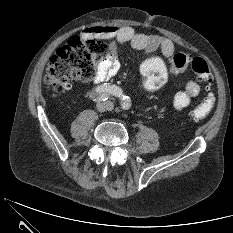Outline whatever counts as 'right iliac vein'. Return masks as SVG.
I'll return each mask as SVG.
<instances>
[{
	"label": "right iliac vein",
	"mask_w": 233,
	"mask_h": 233,
	"mask_svg": "<svg viewBox=\"0 0 233 233\" xmlns=\"http://www.w3.org/2000/svg\"><path fill=\"white\" fill-rule=\"evenodd\" d=\"M98 112L102 113L105 112L106 110L109 109L108 103L107 102H98L96 106Z\"/></svg>",
	"instance_id": "obj_1"
}]
</instances>
